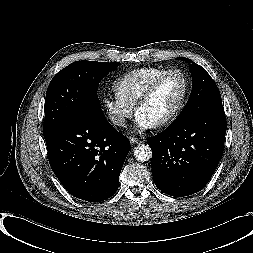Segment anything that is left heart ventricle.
<instances>
[{"label": "left heart ventricle", "instance_id": "obj_1", "mask_svg": "<svg viewBox=\"0 0 253 253\" xmlns=\"http://www.w3.org/2000/svg\"><path fill=\"white\" fill-rule=\"evenodd\" d=\"M183 92L184 84L181 77L169 75L159 84L151 99L139 109L138 113L156 124L177 108Z\"/></svg>", "mask_w": 253, "mask_h": 253}]
</instances>
